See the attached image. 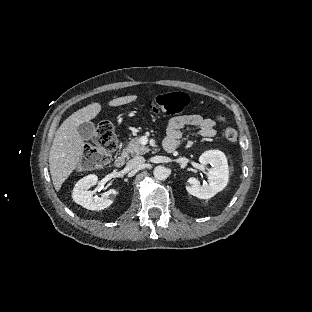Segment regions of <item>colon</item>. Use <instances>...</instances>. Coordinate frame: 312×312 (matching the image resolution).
Here are the masks:
<instances>
[{"instance_id": "colon-1", "label": "colon", "mask_w": 312, "mask_h": 312, "mask_svg": "<svg viewBox=\"0 0 312 312\" xmlns=\"http://www.w3.org/2000/svg\"><path fill=\"white\" fill-rule=\"evenodd\" d=\"M188 104V97L184 92L165 93L158 97L157 101L148 103L147 108L155 114H176L181 112ZM215 120L224 126V136L230 143L237 141L236 130L228 123L227 116L219 112L214 116ZM94 141L97 150L87 149L82 153V165L90 168H101L111 159V154L117 148V137L111 121H101L94 130Z\"/></svg>"}]
</instances>
